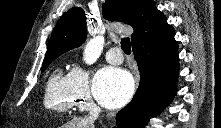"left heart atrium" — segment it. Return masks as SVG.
Listing matches in <instances>:
<instances>
[{"label":"left heart atrium","instance_id":"obj_1","mask_svg":"<svg viewBox=\"0 0 221 128\" xmlns=\"http://www.w3.org/2000/svg\"><path fill=\"white\" fill-rule=\"evenodd\" d=\"M134 92V82L129 73L117 68H104L98 72L93 85L96 100L107 108L126 104Z\"/></svg>","mask_w":221,"mask_h":128}]
</instances>
